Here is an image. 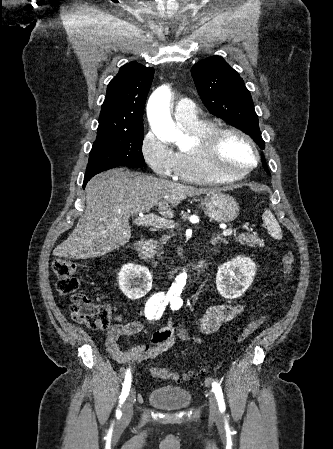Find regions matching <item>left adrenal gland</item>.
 Wrapping results in <instances>:
<instances>
[{"label": "left adrenal gland", "mask_w": 333, "mask_h": 449, "mask_svg": "<svg viewBox=\"0 0 333 449\" xmlns=\"http://www.w3.org/2000/svg\"><path fill=\"white\" fill-rule=\"evenodd\" d=\"M218 241H221V242H226V239L225 238H223V237H220L219 235H217L216 237H213V239L211 240V242H212V244H216Z\"/></svg>", "instance_id": "left-adrenal-gland-1"}]
</instances>
